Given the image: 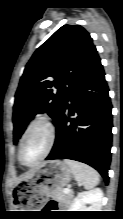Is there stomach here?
<instances>
[{
  "instance_id": "0dacf381",
  "label": "stomach",
  "mask_w": 123,
  "mask_h": 219,
  "mask_svg": "<svg viewBox=\"0 0 123 219\" xmlns=\"http://www.w3.org/2000/svg\"><path fill=\"white\" fill-rule=\"evenodd\" d=\"M71 168L63 161L44 162L35 169L32 176L23 180L16 190V211H37L56 191L62 190L72 178Z\"/></svg>"
}]
</instances>
